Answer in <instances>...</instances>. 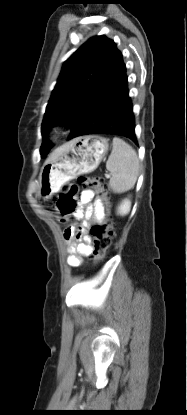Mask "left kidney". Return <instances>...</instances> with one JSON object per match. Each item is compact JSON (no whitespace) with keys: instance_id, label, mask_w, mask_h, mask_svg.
<instances>
[{"instance_id":"left-kidney-1","label":"left kidney","mask_w":187,"mask_h":415,"mask_svg":"<svg viewBox=\"0 0 187 415\" xmlns=\"http://www.w3.org/2000/svg\"><path fill=\"white\" fill-rule=\"evenodd\" d=\"M131 208V201L129 199H124L121 204L118 206L117 212L120 215H126L129 213Z\"/></svg>"}]
</instances>
